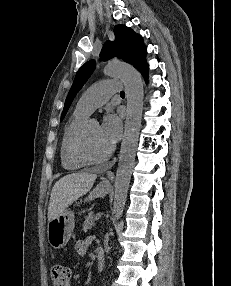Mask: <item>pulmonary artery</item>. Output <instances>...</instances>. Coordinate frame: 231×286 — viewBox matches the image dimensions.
Instances as JSON below:
<instances>
[{"mask_svg":"<svg viewBox=\"0 0 231 286\" xmlns=\"http://www.w3.org/2000/svg\"><path fill=\"white\" fill-rule=\"evenodd\" d=\"M120 90L121 82L119 80L101 81L84 92L77 103V108L90 114Z\"/></svg>","mask_w":231,"mask_h":286,"instance_id":"1","label":"pulmonary artery"}]
</instances>
